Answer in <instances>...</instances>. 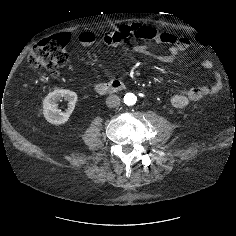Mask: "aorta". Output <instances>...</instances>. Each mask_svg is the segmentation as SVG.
Here are the masks:
<instances>
[{
    "instance_id": "obj_1",
    "label": "aorta",
    "mask_w": 236,
    "mask_h": 236,
    "mask_svg": "<svg viewBox=\"0 0 236 236\" xmlns=\"http://www.w3.org/2000/svg\"><path fill=\"white\" fill-rule=\"evenodd\" d=\"M137 102V96L134 93H126L124 96V103L127 106H132Z\"/></svg>"
}]
</instances>
